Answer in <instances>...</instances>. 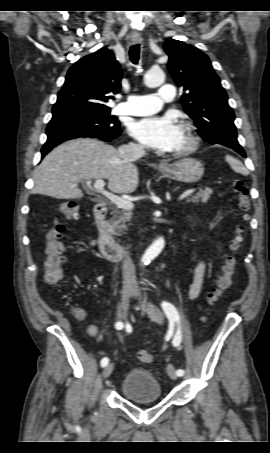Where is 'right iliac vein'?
Returning a JSON list of instances; mask_svg holds the SVG:
<instances>
[{"label": "right iliac vein", "instance_id": "63e3f726", "mask_svg": "<svg viewBox=\"0 0 270 453\" xmlns=\"http://www.w3.org/2000/svg\"><path fill=\"white\" fill-rule=\"evenodd\" d=\"M131 294H132V287L128 284H125V286L123 287V290H122L121 302L119 305V316L123 320H126V318H127L128 303H129V297ZM113 368H114V365L111 363V364H108L103 369L102 376L104 379L108 378L111 375Z\"/></svg>", "mask_w": 270, "mask_h": 453}]
</instances>
